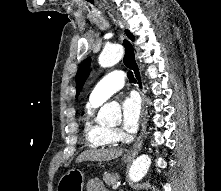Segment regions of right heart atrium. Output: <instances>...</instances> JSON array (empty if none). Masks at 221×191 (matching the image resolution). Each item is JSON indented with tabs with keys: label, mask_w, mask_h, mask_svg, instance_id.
Returning <instances> with one entry per match:
<instances>
[{
	"label": "right heart atrium",
	"mask_w": 221,
	"mask_h": 191,
	"mask_svg": "<svg viewBox=\"0 0 221 191\" xmlns=\"http://www.w3.org/2000/svg\"><path fill=\"white\" fill-rule=\"evenodd\" d=\"M113 134H114L116 141L122 138V132L119 129H113Z\"/></svg>",
	"instance_id": "d8ad5b80"
}]
</instances>
